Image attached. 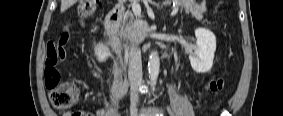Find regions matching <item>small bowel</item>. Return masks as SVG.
Returning a JSON list of instances; mask_svg holds the SVG:
<instances>
[{
    "instance_id": "1",
    "label": "small bowel",
    "mask_w": 283,
    "mask_h": 116,
    "mask_svg": "<svg viewBox=\"0 0 283 116\" xmlns=\"http://www.w3.org/2000/svg\"><path fill=\"white\" fill-rule=\"evenodd\" d=\"M79 24L87 29V25L84 20H79ZM69 26H71L69 24ZM65 57L64 46L60 45L59 47L51 43L47 47V55L45 59V75L49 77H54L58 75V71L55 66L59 61H62ZM68 116L73 115V113H68ZM92 115L94 116H105L106 111L104 109H98Z\"/></svg>"
}]
</instances>
